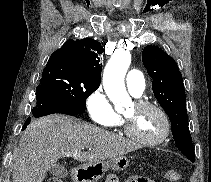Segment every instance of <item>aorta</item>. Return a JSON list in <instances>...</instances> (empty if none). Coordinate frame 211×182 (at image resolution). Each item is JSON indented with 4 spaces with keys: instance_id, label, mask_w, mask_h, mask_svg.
Returning a JSON list of instances; mask_svg holds the SVG:
<instances>
[{
    "instance_id": "obj_1",
    "label": "aorta",
    "mask_w": 211,
    "mask_h": 182,
    "mask_svg": "<svg viewBox=\"0 0 211 182\" xmlns=\"http://www.w3.org/2000/svg\"><path fill=\"white\" fill-rule=\"evenodd\" d=\"M130 63L131 55L128 51H117L111 56L104 69V90L117 109L130 101L124 83Z\"/></svg>"
}]
</instances>
